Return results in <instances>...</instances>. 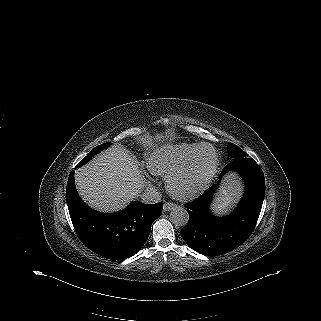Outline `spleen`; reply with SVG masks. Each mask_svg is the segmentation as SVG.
I'll list each match as a JSON object with an SVG mask.
<instances>
[{
  "label": "spleen",
  "mask_w": 321,
  "mask_h": 321,
  "mask_svg": "<svg viewBox=\"0 0 321 321\" xmlns=\"http://www.w3.org/2000/svg\"><path fill=\"white\" fill-rule=\"evenodd\" d=\"M227 201H225L224 199H222V201L220 202V204L217 206L219 209H223L225 208V206L227 205Z\"/></svg>",
  "instance_id": "spleen-1"
}]
</instances>
